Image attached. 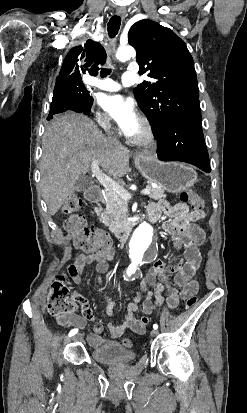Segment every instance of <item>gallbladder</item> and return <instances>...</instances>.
Here are the masks:
<instances>
[{
	"label": "gallbladder",
	"instance_id": "1",
	"mask_svg": "<svg viewBox=\"0 0 247 413\" xmlns=\"http://www.w3.org/2000/svg\"><path fill=\"white\" fill-rule=\"evenodd\" d=\"M92 184L93 180H91L89 176H79L78 180L75 182L78 192H81V190H86V188H89Z\"/></svg>",
	"mask_w": 247,
	"mask_h": 413
}]
</instances>
